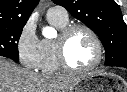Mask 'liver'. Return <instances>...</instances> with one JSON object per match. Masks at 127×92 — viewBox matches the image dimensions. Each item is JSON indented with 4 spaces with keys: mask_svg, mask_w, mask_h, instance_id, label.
I'll return each mask as SVG.
<instances>
[{
    "mask_svg": "<svg viewBox=\"0 0 127 92\" xmlns=\"http://www.w3.org/2000/svg\"><path fill=\"white\" fill-rule=\"evenodd\" d=\"M81 78L38 74L0 57V92H68Z\"/></svg>",
    "mask_w": 127,
    "mask_h": 92,
    "instance_id": "6515ba94",
    "label": "liver"
}]
</instances>
